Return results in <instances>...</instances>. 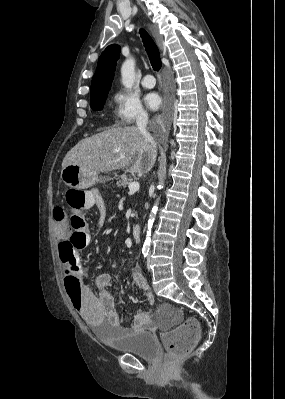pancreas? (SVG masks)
I'll use <instances>...</instances> for the list:
<instances>
[{"instance_id": "obj_1", "label": "pancreas", "mask_w": 285, "mask_h": 399, "mask_svg": "<svg viewBox=\"0 0 285 399\" xmlns=\"http://www.w3.org/2000/svg\"><path fill=\"white\" fill-rule=\"evenodd\" d=\"M133 181V178L131 176H128L126 174H122L118 181H117V185L118 187H127L131 182Z\"/></svg>"}]
</instances>
